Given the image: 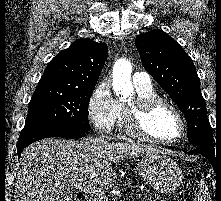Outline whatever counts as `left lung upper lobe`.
<instances>
[{"instance_id": "1", "label": "left lung upper lobe", "mask_w": 221, "mask_h": 201, "mask_svg": "<svg viewBox=\"0 0 221 201\" xmlns=\"http://www.w3.org/2000/svg\"><path fill=\"white\" fill-rule=\"evenodd\" d=\"M135 44L144 68L184 112L188 140L195 147L215 151L193 60L162 30L138 35Z\"/></svg>"}]
</instances>
